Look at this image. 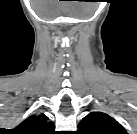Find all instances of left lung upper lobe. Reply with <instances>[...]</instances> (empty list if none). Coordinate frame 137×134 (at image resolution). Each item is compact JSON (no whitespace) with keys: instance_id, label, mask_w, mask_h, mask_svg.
Returning <instances> with one entry per match:
<instances>
[{"instance_id":"left-lung-upper-lobe-1","label":"left lung upper lobe","mask_w":137,"mask_h":134,"mask_svg":"<svg viewBox=\"0 0 137 134\" xmlns=\"http://www.w3.org/2000/svg\"><path fill=\"white\" fill-rule=\"evenodd\" d=\"M77 134H127L111 116L103 112H90L78 125Z\"/></svg>"}]
</instances>
